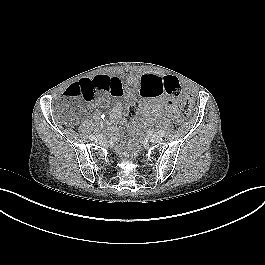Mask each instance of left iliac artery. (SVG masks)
Returning <instances> with one entry per match:
<instances>
[{
	"mask_svg": "<svg viewBox=\"0 0 265 265\" xmlns=\"http://www.w3.org/2000/svg\"><path fill=\"white\" fill-rule=\"evenodd\" d=\"M158 133H159V135L162 136V137L165 135V132H164L163 130L158 131Z\"/></svg>",
	"mask_w": 265,
	"mask_h": 265,
	"instance_id": "44dca946",
	"label": "left iliac artery"
}]
</instances>
